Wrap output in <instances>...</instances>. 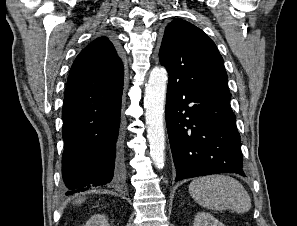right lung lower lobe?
<instances>
[{
    "label": "right lung lower lobe",
    "instance_id": "obj_1",
    "mask_svg": "<svg viewBox=\"0 0 297 226\" xmlns=\"http://www.w3.org/2000/svg\"><path fill=\"white\" fill-rule=\"evenodd\" d=\"M123 84L64 98L65 194L122 182Z\"/></svg>",
    "mask_w": 297,
    "mask_h": 226
}]
</instances>
